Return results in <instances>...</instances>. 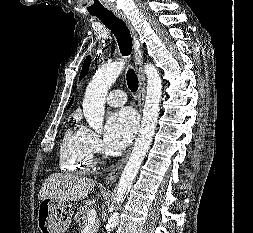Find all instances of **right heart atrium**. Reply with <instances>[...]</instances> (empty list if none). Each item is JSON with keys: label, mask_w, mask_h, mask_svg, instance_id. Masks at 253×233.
Instances as JSON below:
<instances>
[{"label": "right heart atrium", "mask_w": 253, "mask_h": 233, "mask_svg": "<svg viewBox=\"0 0 253 233\" xmlns=\"http://www.w3.org/2000/svg\"><path fill=\"white\" fill-rule=\"evenodd\" d=\"M86 130L88 133L89 142H90V146L93 153L102 154L104 152V144L102 142L101 137L97 133L89 129H86Z\"/></svg>", "instance_id": "1"}]
</instances>
